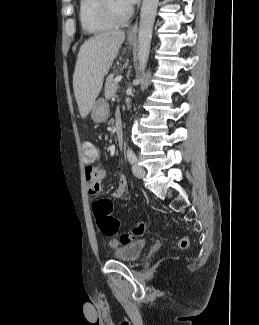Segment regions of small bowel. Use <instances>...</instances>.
Instances as JSON below:
<instances>
[{"instance_id": "obj_1", "label": "small bowel", "mask_w": 259, "mask_h": 325, "mask_svg": "<svg viewBox=\"0 0 259 325\" xmlns=\"http://www.w3.org/2000/svg\"><path fill=\"white\" fill-rule=\"evenodd\" d=\"M118 113V112H117ZM85 178L86 186L89 195H98L102 190V181L107 172L104 166L98 161V157L91 162H85ZM128 182L125 176L119 177L118 186L112 193L113 199H126L127 198Z\"/></svg>"}]
</instances>
